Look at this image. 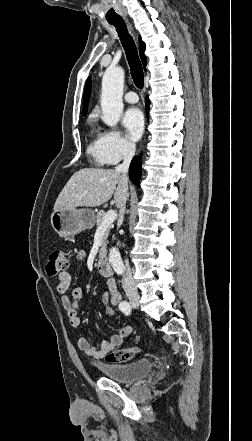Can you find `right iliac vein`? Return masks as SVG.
<instances>
[{
  "mask_svg": "<svg viewBox=\"0 0 252 441\" xmlns=\"http://www.w3.org/2000/svg\"><path fill=\"white\" fill-rule=\"evenodd\" d=\"M126 294H127V297L130 301L131 306L133 308H138L139 299H140L139 293L134 289H127Z\"/></svg>",
  "mask_w": 252,
  "mask_h": 441,
  "instance_id": "63e3f726",
  "label": "right iliac vein"
}]
</instances>
